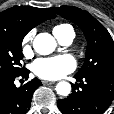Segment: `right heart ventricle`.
I'll use <instances>...</instances> for the list:
<instances>
[{
	"instance_id": "right-heart-ventricle-1",
	"label": "right heart ventricle",
	"mask_w": 114,
	"mask_h": 114,
	"mask_svg": "<svg viewBox=\"0 0 114 114\" xmlns=\"http://www.w3.org/2000/svg\"><path fill=\"white\" fill-rule=\"evenodd\" d=\"M70 30L73 29L69 24H58L53 28V33L57 37V39H60Z\"/></svg>"
}]
</instances>
